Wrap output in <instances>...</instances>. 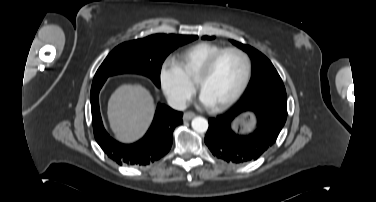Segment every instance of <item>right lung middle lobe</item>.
Instances as JSON below:
<instances>
[{
	"instance_id": "dd1d6c3e",
	"label": "right lung middle lobe",
	"mask_w": 376,
	"mask_h": 202,
	"mask_svg": "<svg viewBox=\"0 0 376 202\" xmlns=\"http://www.w3.org/2000/svg\"><path fill=\"white\" fill-rule=\"evenodd\" d=\"M197 38L195 35L155 34L120 44L101 64L93 83L111 75L138 73L149 77L159 87L165 58L177 47Z\"/></svg>"
}]
</instances>
